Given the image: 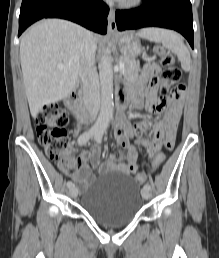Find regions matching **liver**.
<instances>
[{"label": "liver", "mask_w": 219, "mask_h": 258, "mask_svg": "<svg viewBox=\"0 0 219 258\" xmlns=\"http://www.w3.org/2000/svg\"><path fill=\"white\" fill-rule=\"evenodd\" d=\"M86 32L69 21L44 19L23 34L21 68L29 108L34 116L44 105L66 98L75 87ZM58 65H63L64 69H59Z\"/></svg>", "instance_id": "1"}]
</instances>
